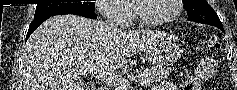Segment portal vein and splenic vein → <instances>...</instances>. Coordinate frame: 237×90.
Here are the masks:
<instances>
[{
	"label": "portal vein and splenic vein",
	"instance_id": "18ae733b",
	"mask_svg": "<svg viewBox=\"0 0 237 90\" xmlns=\"http://www.w3.org/2000/svg\"><path fill=\"white\" fill-rule=\"evenodd\" d=\"M92 76L96 78V74H92ZM102 78H104L105 82L113 84L115 88H123V90H126L129 86L124 78H119V76H115V74H107V76H102Z\"/></svg>",
	"mask_w": 237,
	"mask_h": 90
}]
</instances>
